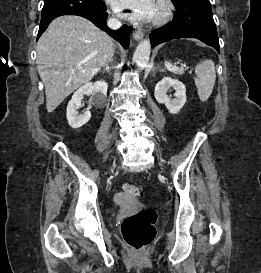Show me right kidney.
<instances>
[{"label": "right kidney", "instance_id": "ca27d5eb", "mask_svg": "<svg viewBox=\"0 0 261 273\" xmlns=\"http://www.w3.org/2000/svg\"><path fill=\"white\" fill-rule=\"evenodd\" d=\"M108 84L105 81H96L95 83H87L81 86L72 96L67 106V120L73 129H78L86 124L90 118V111L78 114L81 107V101L85 95L95 94L94 101L105 100L107 96Z\"/></svg>", "mask_w": 261, "mask_h": 273}]
</instances>
